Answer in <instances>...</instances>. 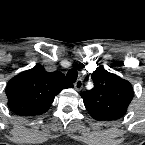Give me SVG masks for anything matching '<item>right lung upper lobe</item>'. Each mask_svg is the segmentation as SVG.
Listing matches in <instances>:
<instances>
[{"label": "right lung upper lobe", "instance_id": "cb5924a9", "mask_svg": "<svg viewBox=\"0 0 145 145\" xmlns=\"http://www.w3.org/2000/svg\"><path fill=\"white\" fill-rule=\"evenodd\" d=\"M73 87L63 73L45 71L35 66L13 77L6 86L8 106L20 116H36L45 113L62 89Z\"/></svg>", "mask_w": 145, "mask_h": 145}]
</instances>
